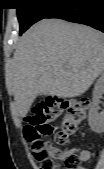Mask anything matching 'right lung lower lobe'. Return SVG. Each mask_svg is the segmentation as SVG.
<instances>
[{
  "label": "right lung lower lobe",
  "instance_id": "98d812e1",
  "mask_svg": "<svg viewBox=\"0 0 104 169\" xmlns=\"http://www.w3.org/2000/svg\"><path fill=\"white\" fill-rule=\"evenodd\" d=\"M47 18L85 24L104 32V0H69Z\"/></svg>",
  "mask_w": 104,
  "mask_h": 169
}]
</instances>
